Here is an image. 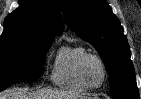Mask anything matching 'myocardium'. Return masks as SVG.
<instances>
[{
  "mask_svg": "<svg viewBox=\"0 0 141 99\" xmlns=\"http://www.w3.org/2000/svg\"><path fill=\"white\" fill-rule=\"evenodd\" d=\"M92 59H93V60H96V61L100 64V66H101V68H102V71H103V79H102L101 83L98 84V85H92V84L88 81V79H87V77H86V73H85L86 64H87V62H88L89 60H92ZM79 76H80L82 82H83L89 89H98V88H100L101 86H103V84L106 82V80H107V78H108V70H107V66H106V63H105L104 59H103L100 55H98V54H96V53H86V54L82 57V59H81V61H80V64H79Z\"/></svg>",
  "mask_w": 141,
  "mask_h": 99,
  "instance_id": "1",
  "label": "myocardium"
}]
</instances>
